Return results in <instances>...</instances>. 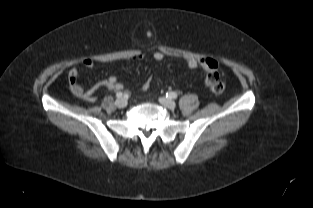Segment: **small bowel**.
<instances>
[{
    "mask_svg": "<svg viewBox=\"0 0 313 208\" xmlns=\"http://www.w3.org/2000/svg\"><path fill=\"white\" fill-rule=\"evenodd\" d=\"M143 54L136 55L134 59L142 60L144 59ZM153 58L157 61H161L164 58V55L160 52H155ZM81 64L86 68H92L94 66V60L92 58H84L81 61ZM187 66L190 69H196L198 67L202 68L204 71L208 72L210 69L217 68L218 64L215 59L210 57H205L201 59L190 58L187 60ZM79 72L77 68H72L69 72V85L72 94L80 99H83L87 102H95L96 92L101 89L105 90H120L123 88V85L115 76H110L107 80L95 85L93 88L86 90L79 83Z\"/></svg>",
    "mask_w": 313,
    "mask_h": 208,
    "instance_id": "1",
    "label": "small bowel"
}]
</instances>
